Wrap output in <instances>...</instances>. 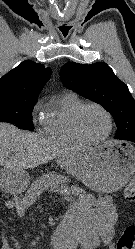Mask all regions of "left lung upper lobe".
Masks as SVG:
<instances>
[{
    "mask_svg": "<svg viewBox=\"0 0 135 249\" xmlns=\"http://www.w3.org/2000/svg\"><path fill=\"white\" fill-rule=\"evenodd\" d=\"M60 77L66 88L101 104L112 114L117 125L116 139L135 138V100L106 63L68 62L62 66Z\"/></svg>",
    "mask_w": 135,
    "mask_h": 249,
    "instance_id": "1",
    "label": "left lung upper lobe"
}]
</instances>
